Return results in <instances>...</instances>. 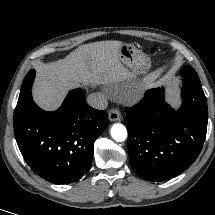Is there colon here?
Wrapping results in <instances>:
<instances>
[{"instance_id": "obj_1", "label": "colon", "mask_w": 215, "mask_h": 215, "mask_svg": "<svg viewBox=\"0 0 215 215\" xmlns=\"http://www.w3.org/2000/svg\"><path fill=\"white\" fill-rule=\"evenodd\" d=\"M151 51L154 52V49L152 48Z\"/></svg>"}]
</instances>
